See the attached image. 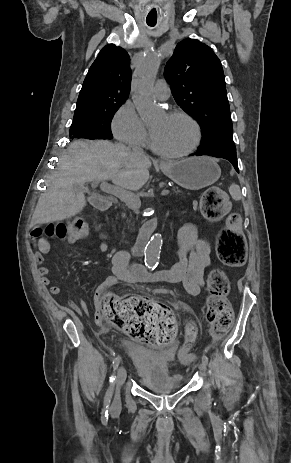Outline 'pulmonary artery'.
<instances>
[{"mask_svg": "<svg viewBox=\"0 0 291 463\" xmlns=\"http://www.w3.org/2000/svg\"><path fill=\"white\" fill-rule=\"evenodd\" d=\"M154 95L158 100H167L170 96V88L164 79H159L154 86Z\"/></svg>", "mask_w": 291, "mask_h": 463, "instance_id": "1", "label": "pulmonary artery"}]
</instances>
